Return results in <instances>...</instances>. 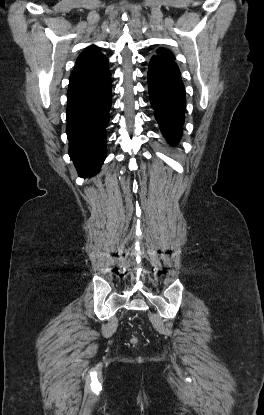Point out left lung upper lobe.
Listing matches in <instances>:
<instances>
[{"label": "left lung upper lobe", "mask_w": 264, "mask_h": 415, "mask_svg": "<svg viewBox=\"0 0 264 415\" xmlns=\"http://www.w3.org/2000/svg\"><path fill=\"white\" fill-rule=\"evenodd\" d=\"M157 53L160 54V56H164V57H168V58H174V55L166 49H159L157 51Z\"/></svg>", "instance_id": "1"}]
</instances>
